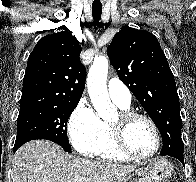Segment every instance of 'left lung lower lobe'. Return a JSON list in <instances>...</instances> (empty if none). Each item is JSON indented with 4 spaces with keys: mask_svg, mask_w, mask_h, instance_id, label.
Here are the masks:
<instances>
[{
    "mask_svg": "<svg viewBox=\"0 0 196 182\" xmlns=\"http://www.w3.org/2000/svg\"><path fill=\"white\" fill-rule=\"evenodd\" d=\"M166 155L172 156L176 159H178L182 164H184V158H183V154L173 151V152H165ZM165 156V155H164Z\"/></svg>",
    "mask_w": 196,
    "mask_h": 182,
    "instance_id": "0a47b994",
    "label": "left lung lower lobe"
}]
</instances>
